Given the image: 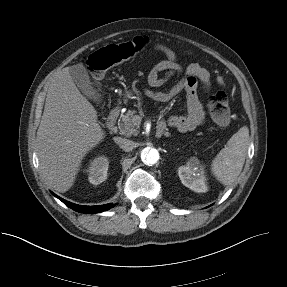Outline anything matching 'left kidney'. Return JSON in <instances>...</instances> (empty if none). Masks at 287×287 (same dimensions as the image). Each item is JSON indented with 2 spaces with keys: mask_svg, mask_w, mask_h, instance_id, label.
<instances>
[{
  "mask_svg": "<svg viewBox=\"0 0 287 287\" xmlns=\"http://www.w3.org/2000/svg\"><path fill=\"white\" fill-rule=\"evenodd\" d=\"M178 175L182 184L194 192H207L208 187L203 167L196 157L190 158L186 165L180 166Z\"/></svg>",
  "mask_w": 287,
  "mask_h": 287,
  "instance_id": "left-kidney-1",
  "label": "left kidney"
}]
</instances>
